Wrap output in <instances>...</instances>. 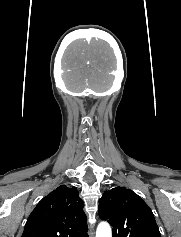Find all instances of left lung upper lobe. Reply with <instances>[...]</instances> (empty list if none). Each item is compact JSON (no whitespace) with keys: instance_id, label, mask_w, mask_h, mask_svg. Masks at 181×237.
Segmentation results:
<instances>
[{"instance_id":"left-lung-upper-lobe-1","label":"left lung upper lobe","mask_w":181,"mask_h":237,"mask_svg":"<svg viewBox=\"0 0 181 237\" xmlns=\"http://www.w3.org/2000/svg\"><path fill=\"white\" fill-rule=\"evenodd\" d=\"M98 213L101 220L112 226L113 237H160L149 206L125 187L105 191L99 201Z\"/></svg>"}]
</instances>
